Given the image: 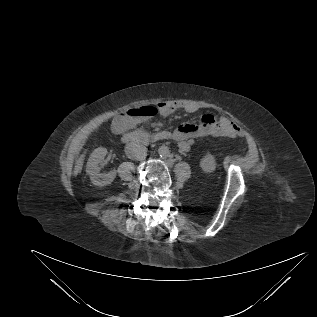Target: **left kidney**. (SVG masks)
Instances as JSON below:
<instances>
[{"instance_id": "obj_1", "label": "left kidney", "mask_w": 317, "mask_h": 317, "mask_svg": "<svg viewBox=\"0 0 317 317\" xmlns=\"http://www.w3.org/2000/svg\"><path fill=\"white\" fill-rule=\"evenodd\" d=\"M200 167L204 172H213L216 168V160L213 155L206 154L200 160Z\"/></svg>"}]
</instances>
